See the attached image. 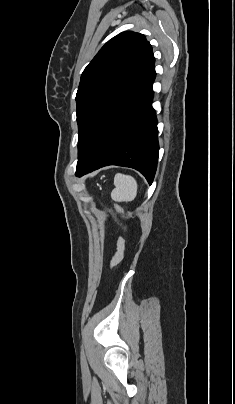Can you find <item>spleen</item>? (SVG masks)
Wrapping results in <instances>:
<instances>
[{
	"instance_id": "1",
	"label": "spleen",
	"mask_w": 235,
	"mask_h": 404,
	"mask_svg": "<svg viewBox=\"0 0 235 404\" xmlns=\"http://www.w3.org/2000/svg\"><path fill=\"white\" fill-rule=\"evenodd\" d=\"M115 189L111 192V198L116 202H130L137 195V182L129 175L118 173L114 178Z\"/></svg>"
}]
</instances>
